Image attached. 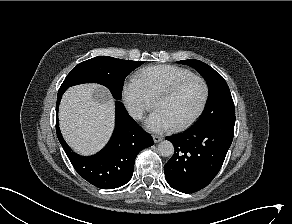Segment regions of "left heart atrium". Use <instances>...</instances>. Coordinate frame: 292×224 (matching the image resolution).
<instances>
[{
    "label": "left heart atrium",
    "mask_w": 292,
    "mask_h": 224,
    "mask_svg": "<svg viewBox=\"0 0 292 224\" xmlns=\"http://www.w3.org/2000/svg\"><path fill=\"white\" fill-rule=\"evenodd\" d=\"M173 127L172 122L160 109L155 110L146 120V128L152 132H163Z\"/></svg>",
    "instance_id": "obj_1"
}]
</instances>
